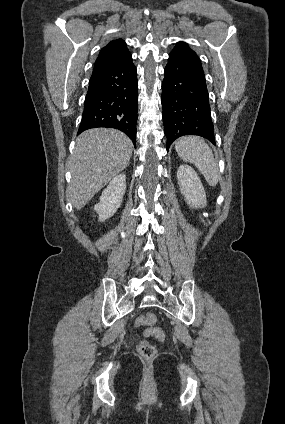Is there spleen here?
Wrapping results in <instances>:
<instances>
[{"instance_id": "obj_1", "label": "spleen", "mask_w": 285, "mask_h": 424, "mask_svg": "<svg viewBox=\"0 0 285 424\" xmlns=\"http://www.w3.org/2000/svg\"><path fill=\"white\" fill-rule=\"evenodd\" d=\"M175 150L184 161L190 162L198 168L210 186L218 184V165L212 150L203 139L197 136L181 137L175 142Z\"/></svg>"}]
</instances>
